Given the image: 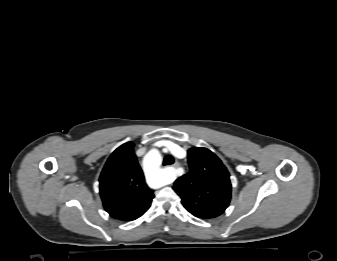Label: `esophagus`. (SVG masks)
<instances>
[{
  "instance_id": "1",
  "label": "esophagus",
  "mask_w": 337,
  "mask_h": 261,
  "mask_svg": "<svg viewBox=\"0 0 337 261\" xmlns=\"http://www.w3.org/2000/svg\"><path fill=\"white\" fill-rule=\"evenodd\" d=\"M179 166H180V164L178 162H175L174 165H173L174 168H177Z\"/></svg>"
}]
</instances>
